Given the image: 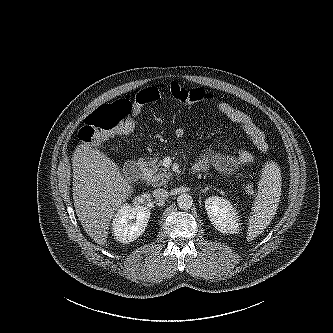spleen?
Segmentation results:
<instances>
[{
  "instance_id": "obj_1",
  "label": "spleen",
  "mask_w": 333,
  "mask_h": 333,
  "mask_svg": "<svg viewBox=\"0 0 333 333\" xmlns=\"http://www.w3.org/2000/svg\"><path fill=\"white\" fill-rule=\"evenodd\" d=\"M281 181L280 167L275 162L265 163L248 221L247 241L261 234L274 217L281 196Z\"/></svg>"
}]
</instances>
